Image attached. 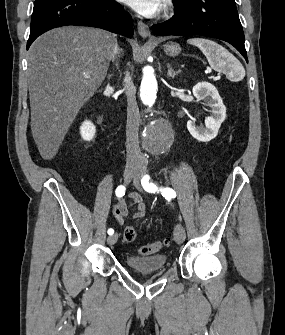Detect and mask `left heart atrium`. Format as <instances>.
<instances>
[{"mask_svg":"<svg viewBox=\"0 0 285 335\" xmlns=\"http://www.w3.org/2000/svg\"><path fill=\"white\" fill-rule=\"evenodd\" d=\"M135 11L146 16H154L158 12L157 1H121Z\"/></svg>","mask_w":285,"mask_h":335,"instance_id":"obj_1","label":"left heart atrium"}]
</instances>
